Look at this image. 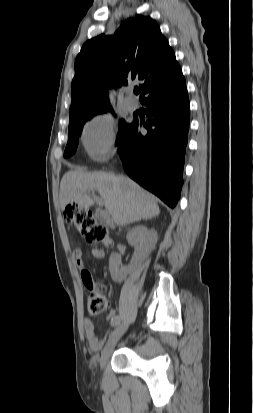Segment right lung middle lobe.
<instances>
[{
	"mask_svg": "<svg viewBox=\"0 0 253 413\" xmlns=\"http://www.w3.org/2000/svg\"><path fill=\"white\" fill-rule=\"evenodd\" d=\"M106 111H111L112 108L110 106L104 107L83 116H80L76 119L70 120L69 123V136H68V143L64 152V157H69L76 152V148L79 142L78 137L81 135L82 128L84 123L90 119L92 116L100 113H104ZM130 127V124L126 123L124 120H120L119 122V134L116 145H118L125 136L126 131Z\"/></svg>",
	"mask_w": 253,
	"mask_h": 413,
	"instance_id": "1",
	"label": "right lung middle lobe"
}]
</instances>
